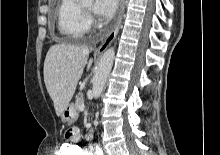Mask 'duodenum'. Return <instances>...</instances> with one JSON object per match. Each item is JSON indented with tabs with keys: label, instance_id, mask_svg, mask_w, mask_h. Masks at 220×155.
<instances>
[{
	"label": "duodenum",
	"instance_id": "410a0bca",
	"mask_svg": "<svg viewBox=\"0 0 220 155\" xmlns=\"http://www.w3.org/2000/svg\"><path fill=\"white\" fill-rule=\"evenodd\" d=\"M89 136L92 137V133H90Z\"/></svg>",
	"mask_w": 220,
	"mask_h": 155
}]
</instances>
